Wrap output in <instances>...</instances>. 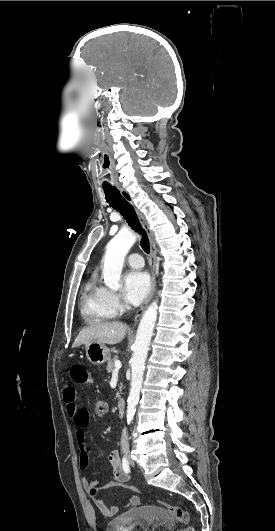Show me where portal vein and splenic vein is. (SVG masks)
I'll return each mask as SVG.
<instances>
[{"label": "portal vein and splenic vein", "instance_id": "obj_1", "mask_svg": "<svg viewBox=\"0 0 275 531\" xmlns=\"http://www.w3.org/2000/svg\"><path fill=\"white\" fill-rule=\"evenodd\" d=\"M122 365L120 363V361H115V371L116 369H121Z\"/></svg>", "mask_w": 275, "mask_h": 531}]
</instances>
